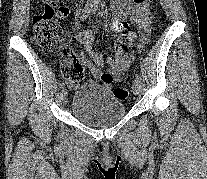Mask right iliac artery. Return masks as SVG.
Segmentation results:
<instances>
[{
  "label": "right iliac artery",
  "instance_id": "right-iliac-artery-1",
  "mask_svg": "<svg viewBox=\"0 0 207 179\" xmlns=\"http://www.w3.org/2000/svg\"><path fill=\"white\" fill-rule=\"evenodd\" d=\"M91 11H92V6L86 5L82 11L80 19L84 21L88 17V15L91 13ZM64 87H65V84L63 82L60 83V88L64 89Z\"/></svg>",
  "mask_w": 207,
  "mask_h": 179
}]
</instances>
